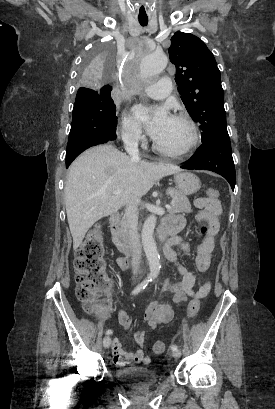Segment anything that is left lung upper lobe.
<instances>
[{
  "label": "left lung upper lobe",
  "instance_id": "left-lung-upper-lobe-1",
  "mask_svg": "<svg viewBox=\"0 0 275 409\" xmlns=\"http://www.w3.org/2000/svg\"><path fill=\"white\" fill-rule=\"evenodd\" d=\"M170 61L175 81L190 116L200 123L202 144L229 137L221 75L212 52L198 37L176 32L171 38Z\"/></svg>",
  "mask_w": 275,
  "mask_h": 409
}]
</instances>
